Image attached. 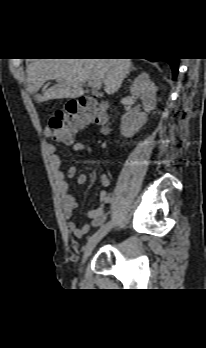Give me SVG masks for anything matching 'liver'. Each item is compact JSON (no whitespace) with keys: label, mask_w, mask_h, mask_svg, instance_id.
<instances>
[{"label":"liver","mask_w":206,"mask_h":348,"mask_svg":"<svg viewBox=\"0 0 206 348\" xmlns=\"http://www.w3.org/2000/svg\"><path fill=\"white\" fill-rule=\"evenodd\" d=\"M130 67L131 59H33L27 66V89L39 103L78 98L84 94L87 81L100 80L104 91L112 95L121 87ZM48 80L56 84L37 94Z\"/></svg>","instance_id":"obj_1"}]
</instances>
